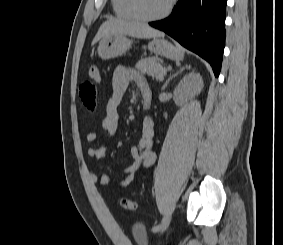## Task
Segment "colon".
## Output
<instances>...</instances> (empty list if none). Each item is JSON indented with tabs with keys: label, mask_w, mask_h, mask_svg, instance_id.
I'll use <instances>...</instances> for the list:
<instances>
[{
	"label": "colon",
	"mask_w": 283,
	"mask_h": 245,
	"mask_svg": "<svg viewBox=\"0 0 283 245\" xmlns=\"http://www.w3.org/2000/svg\"><path fill=\"white\" fill-rule=\"evenodd\" d=\"M89 79L93 82H97L100 79V72L96 65H92L89 68L88 71ZM121 206L128 210V211H134L137 208V205L134 201L124 198L121 200Z\"/></svg>",
	"instance_id": "1"
}]
</instances>
